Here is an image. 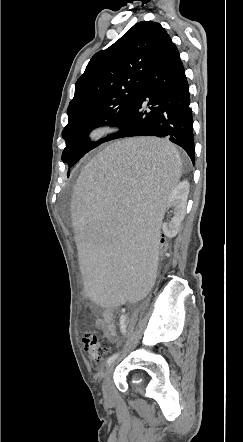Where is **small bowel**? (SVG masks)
<instances>
[{
    "mask_svg": "<svg viewBox=\"0 0 243 442\" xmlns=\"http://www.w3.org/2000/svg\"><path fill=\"white\" fill-rule=\"evenodd\" d=\"M114 310L115 307L105 309L102 313V317L96 321V326L102 331L105 338L110 342H114L117 336Z\"/></svg>",
    "mask_w": 243,
    "mask_h": 442,
    "instance_id": "1",
    "label": "small bowel"
}]
</instances>
